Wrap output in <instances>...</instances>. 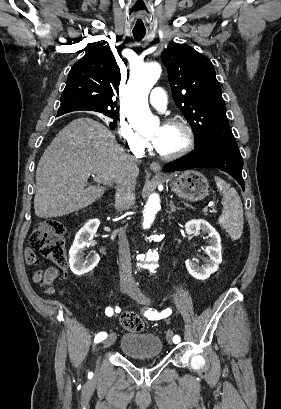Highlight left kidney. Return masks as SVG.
Wrapping results in <instances>:
<instances>
[{"label": "left kidney", "instance_id": "1", "mask_svg": "<svg viewBox=\"0 0 281 409\" xmlns=\"http://www.w3.org/2000/svg\"><path fill=\"white\" fill-rule=\"evenodd\" d=\"M185 231L187 235H193V233L202 231V233H208V237H210V247H206V253L209 259H205L204 267H199L197 263H193L190 259L185 261L188 273H190L192 277H195V279L204 281V279H208L212 273H216L219 269L220 263H222L221 239L219 233H217L214 227H211L207 221H204V219H192V221H188L185 225Z\"/></svg>", "mask_w": 281, "mask_h": 409}]
</instances>
